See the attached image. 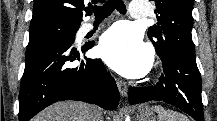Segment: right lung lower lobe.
<instances>
[{"label":"right lung lower lobe","instance_id":"1","mask_svg":"<svg viewBox=\"0 0 217 121\" xmlns=\"http://www.w3.org/2000/svg\"><path fill=\"white\" fill-rule=\"evenodd\" d=\"M93 42L76 46L67 38L29 43L19 93V121L57 101L79 100L114 110L119 103L115 80L98 59L85 56Z\"/></svg>","mask_w":217,"mask_h":121}]
</instances>
